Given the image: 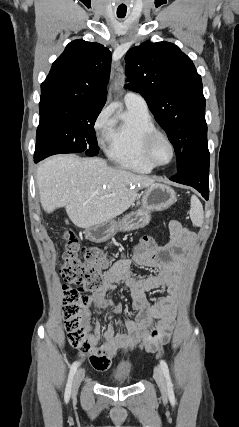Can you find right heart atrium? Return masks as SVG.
<instances>
[{"label":"right heart atrium","mask_w":239,"mask_h":427,"mask_svg":"<svg viewBox=\"0 0 239 427\" xmlns=\"http://www.w3.org/2000/svg\"><path fill=\"white\" fill-rule=\"evenodd\" d=\"M111 113L112 111L110 108L103 109L94 122V130L100 141L105 140V137L111 128Z\"/></svg>","instance_id":"1"}]
</instances>
